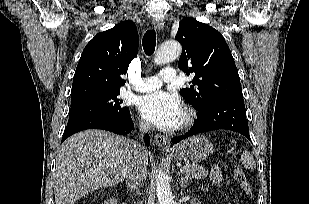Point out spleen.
<instances>
[{
    "label": "spleen",
    "instance_id": "obj_1",
    "mask_svg": "<svg viewBox=\"0 0 309 204\" xmlns=\"http://www.w3.org/2000/svg\"><path fill=\"white\" fill-rule=\"evenodd\" d=\"M241 162L244 168L253 170L256 167V162L250 152L245 151L241 155Z\"/></svg>",
    "mask_w": 309,
    "mask_h": 204
}]
</instances>
